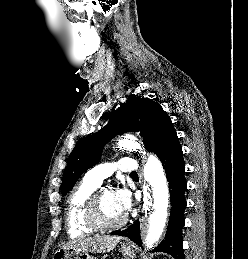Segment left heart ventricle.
Returning <instances> with one entry per match:
<instances>
[{"label": "left heart ventricle", "instance_id": "1", "mask_svg": "<svg viewBox=\"0 0 248 259\" xmlns=\"http://www.w3.org/2000/svg\"><path fill=\"white\" fill-rule=\"evenodd\" d=\"M100 211L102 218L107 222H116L125 215L119 208L112 191L102 192L100 196Z\"/></svg>", "mask_w": 248, "mask_h": 259}]
</instances>
